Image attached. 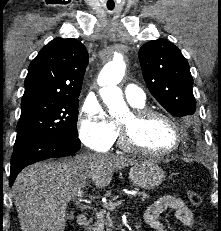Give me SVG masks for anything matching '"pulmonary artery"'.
<instances>
[{
	"label": "pulmonary artery",
	"instance_id": "e3ab8cb5",
	"mask_svg": "<svg viewBox=\"0 0 221 231\" xmlns=\"http://www.w3.org/2000/svg\"><path fill=\"white\" fill-rule=\"evenodd\" d=\"M124 91L126 99L131 104H142L146 99L143 90L135 84H127L124 88Z\"/></svg>",
	"mask_w": 221,
	"mask_h": 231
}]
</instances>
